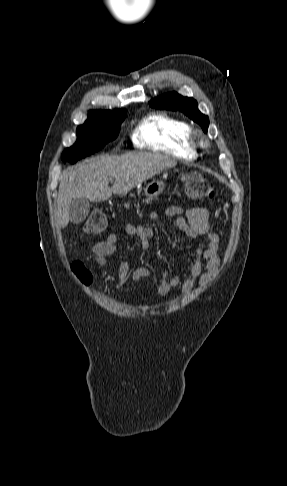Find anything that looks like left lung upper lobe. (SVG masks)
<instances>
[{
  "label": "left lung upper lobe",
  "instance_id": "obj_1",
  "mask_svg": "<svg viewBox=\"0 0 287 486\" xmlns=\"http://www.w3.org/2000/svg\"><path fill=\"white\" fill-rule=\"evenodd\" d=\"M149 103L151 107L156 109L179 110L197 122L204 132H207L208 116L200 113L197 102L193 98L183 97L176 92H171L154 98Z\"/></svg>",
  "mask_w": 287,
  "mask_h": 486
}]
</instances>
